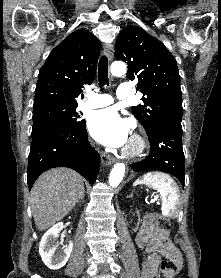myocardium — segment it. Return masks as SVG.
Segmentation results:
<instances>
[{"mask_svg": "<svg viewBox=\"0 0 221 278\" xmlns=\"http://www.w3.org/2000/svg\"><path fill=\"white\" fill-rule=\"evenodd\" d=\"M145 149H146L145 139L142 136L135 134L131 138L129 145L123 151V154L129 158H136L142 155Z\"/></svg>", "mask_w": 221, "mask_h": 278, "instance_id": "1", "label": "myocardium"}]
</instances>
